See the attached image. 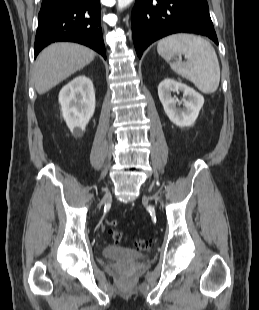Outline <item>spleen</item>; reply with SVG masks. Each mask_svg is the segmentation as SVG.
<instances>
[{"label": "spleen", "mask_w": 259, "mask_h": 310, "mask_svg": "<svg viewBox=\"0 0 259 310\" xmlns=\"http://www.w3.org/2000/svg\"><path fill=\"white\" fill-rule=\"evenodd\" d=\"M159 55L178 75L188 79L203 93H214L220 82V66L213 46L204 38L192 34H174L157 45ZM176 55H185L186 62H171Z\"/></svg>", "instance_id": "3e777b00"}]
</instances>
